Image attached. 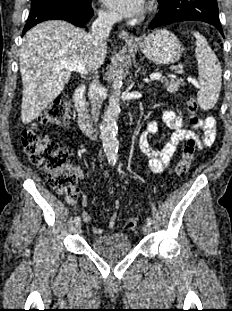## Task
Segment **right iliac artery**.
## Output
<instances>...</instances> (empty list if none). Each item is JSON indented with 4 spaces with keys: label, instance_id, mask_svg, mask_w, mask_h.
<instances>
[{
    "label": "right iliac artery",
    "instance_id": "obj_1",
    "mask_svg": "<svg viewBox=\"0 0 232 311\" xmlns=\"http://www.w3.org/2000/svg\"><path fill=\"white\" fill-rule=\"evenodd\" d=\"M109 162H111V164L114 165V161H109ZM80 221H81V218L79 216L75 217L74 222L76 224L80 223Z\"/></svg>",
    "mask_w": 232,
    "mask_h": 311
}]
</instances>
